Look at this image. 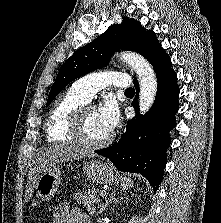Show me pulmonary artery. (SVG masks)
Segmentation results:
<instances>
[{
    "mask_svg": "<svg viewBox=\"0 0 221 223\" xmlns=\"http://www.w3.org/2000/svg\"><path fill=\"white\" fill-rule=\"evenodd\" d=\"M109 85L128 88L131 80L126 73L118 70L100 71L77 79L71 89L85 101H89L96 92Z\"/></svg>",
    "mask_w": 221,
    "mask_h": 223,
    "instance_id": "e3ab8cb5",
    "label": "pulmonary artery"
}]
</instances>
